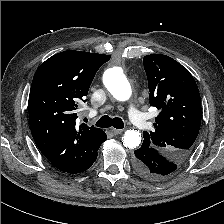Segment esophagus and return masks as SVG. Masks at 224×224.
Returning a JSON list of instances; mask_svg holds the SVG:
<instances>
[{"instance_id": "34e87169", "label": "esophagus", "mask_w": 224, "mask_h": 224, "mask_svg": "<svg viewBox=\"0 0 224 224\" xmlns=\"http://www.w3.org/2000/svg\"><path fill=\"white\" fill-rule=\"evenodd\" d=\"M111 131L114 135H119V134L123 133L124 130L123 129H112Z\"/></svg>"}]
</instances>
